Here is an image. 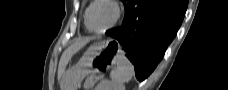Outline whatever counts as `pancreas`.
I'll return each instance as SVG.
<instances>
[{
  "instance_id": "1",
  "label": "pancreas",
  "mask_w": 228,
  "mask_h": 90,
  "mask_svg": "<svg viewBox=\"0 0 228 90\" xmlns=\"http://www.w3.org/2000/svg\"><path fill=\"white\" fill-rule=\"evenodd\" d=\"M98 79L99 78L94 75L89 76L84 83V88L86 90H91Z\"/></svg>"
}]
</instances>
